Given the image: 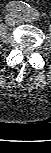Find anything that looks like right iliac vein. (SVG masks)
<instances>
[{
    "mask_svg": "<svg viewBox=\"0 0 51 153\" xmlns=\"http://www.w3.org/2000/svg\"><path fill=\"white\" fill-rule=\"evenodd\" d=\"M14 21H15V16L12 13L8 14L5 18V22L8 25H12Z\"/></svg>",
    "mask_w": 51,
    "mask_h": 153,
    "instance_id": "obj_1",
    "label": "right iliac vein"
}]
</instances>
